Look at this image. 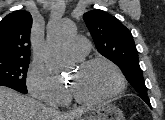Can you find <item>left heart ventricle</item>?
<instances>
[{
    "mask_svg": "<svg viewBox=\"0 0 165 120\" xmlns=\"http://www.w3.org/2000/svg\"><path fill=\"white\" fill-rule=\"evenodd\" d=\"M118 79L114 71L105 65L88 69H78L71 77L70 87L86 99H96L108 95L116 89Z\"/></svg>",
    "mask_w": 165,
    "mask_h": 120,
    "instance_id": "obj_1",
    "label": "left heart ventricle"
}]
</instances>
